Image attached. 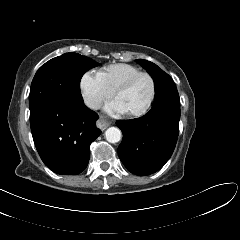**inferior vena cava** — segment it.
Masks as SVG:
<instances>
[{
    "label": "inferior vena cava",
    "instance_id": "obj_1",
    "mask_svg": "<svg viewBox=\"0 0 240 240\" xmlns=\"http://www.w3.org/2000/svg\"><path fill=\"white\" fill-rule=\"evenodd\" d=\"M85 104L90 109H95V110H97L101 107V101L99 99H96V98H86L85 99Z\"/></svg>",
    "mask_w": 240,
    "mask_h": 240
}]
</instances>
